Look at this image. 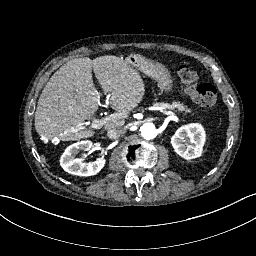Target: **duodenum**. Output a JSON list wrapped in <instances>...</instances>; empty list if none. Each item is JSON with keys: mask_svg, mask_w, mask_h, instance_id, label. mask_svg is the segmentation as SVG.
I'll use <instances>...</instances> for the list:
<instances>
[{"mask_svg": "<svg viewBox=\"0 0 256 256\" xmlns=\"http://www.w3.org/2000/svg\"><path fill=\"white\" fill-rule=\"evenodd\" d=\"M140 65V58L138 56H129L125 59V66L127 68H135ZM143 73L145 75H152L154 73V65L152 63H145L143 65Z\"/></svg>", "mask_w": 256, "mask_h": 256, "instance_id": "1", "label": "duodenum"}]
</instances>
